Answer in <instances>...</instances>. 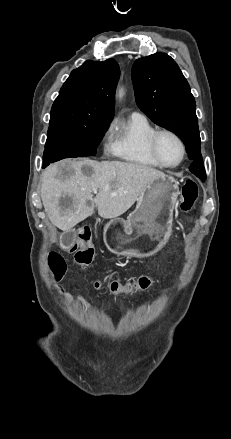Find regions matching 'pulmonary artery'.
<instances>
[{"label": "pulmonary artery", "mask_w": 231, "mask_h": 439, "mask_svg": "<svg viewBox=\"0 0 231 439\" xmlns=\"http://www.w3.org/2000/svg\"><path fill=\"white\" fill-rule=\"evenodd\" d=\"M132 115H139V116H144L143 114L139 113V112H133Z\"/></svg>", "instance_id": "pulmonary-artery-1"}]
</instances>
